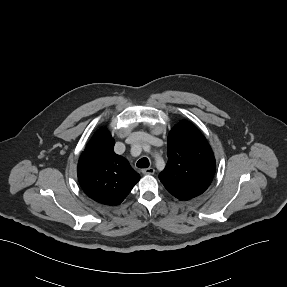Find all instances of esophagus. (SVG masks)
<instances>
[{"label": "esophagus", "mask_w": 287, "mask_h": 287, "mask_svg": "<svg viewBox=\"0 0 287 287\" xmlns=\"http://www.w3.org/2000/svg\"><path fill=\"white\" fill-rule=\"evenodd\" d=\"M154 172H155V170L153 168L142 169L143 174L152 175V174H154Z\"/></svg>", "instance_id": "obj_1"}]
</instances>
